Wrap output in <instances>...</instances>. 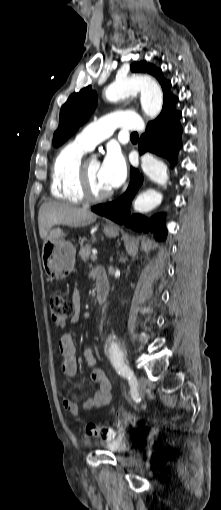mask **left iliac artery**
Listing matches in <instances>:
<instances>
[{
  "label": "left iliac artery",
  "mask_w": 221,
  "mask_h": 510,
  "mask_svg": "<svg viewBox=\"0 0 221 510\" xmlns=\"http://www.w3.org/2000/svg\"><path fill=\"white\" fill-rule=\"evenodd\" d=\"M109 358L116 370L126 377L130 385L137 383L133 371L129 368L128 362L124 359L123 350L118 345H113L109 350Z\"/></svg>",
  "instance_id": "left-iliac-artery-1"
}]
</instances>
